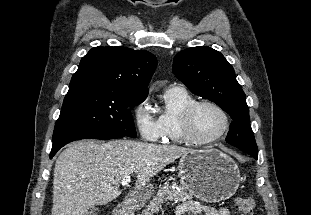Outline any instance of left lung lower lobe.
<instances>
[{
	"label": "left lung lower lobe",
	"instance_id": "obj_1",
	"mask_svg": "<svg viewBox=\"0 0 311 215\" xmlns=\"http://www.w3.org/2000/svg\"><path fill=\"white\" fill-rule=\"evenodd\" d=\"M253 158L257 159L258 158V155H255V154H250Z\"/></svg>",
	"mask_w": 311,
	"mask_h": 215
}]
</instances>
